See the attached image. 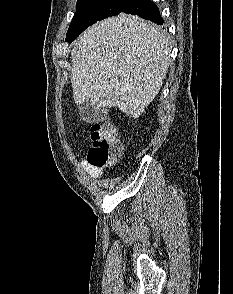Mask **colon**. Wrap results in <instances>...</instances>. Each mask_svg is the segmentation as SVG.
<instances>
[{"instance_id": "colon-1", "label": "colon", "mask_w": 233, "mask_h": 294, "mask_svg": "<svg viewBox=\"0 0 233 294\" xmlns=\"http://www.w3.org/2000/svg\"><path fill=\"white\" fill-rule=\"evenodd\" d=\"M92 147L87 155L90 166L103 169L121 154L122 145L117 139L116 127L111 123H94L90 127Z\"/></svg>"}]
</instances>
